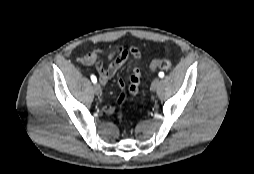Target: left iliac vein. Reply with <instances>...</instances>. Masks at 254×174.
<instances>
[{
  "instance_id": "obj_1",
  "label": "left iliac vein",
  "mask_w": 254,
  "mask_h": 174,
  "mask_svg": "<svg viewBox=\"0 0 254 174\" xmlns=\"http://www.w3.org/2000/svg\"><path fill=\"white\" fill-rule=\"evenodd\" d=\"M161 81L159 79H154L151 84V90L155 91L160 86Z\"/></svg>"
}]
</instances>
